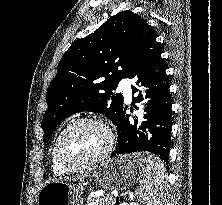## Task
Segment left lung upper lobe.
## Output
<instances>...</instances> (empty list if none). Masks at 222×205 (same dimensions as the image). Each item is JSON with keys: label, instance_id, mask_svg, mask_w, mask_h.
<instances>
[{"label": "left lung upper lobe", "instance_id": "1", "mask_svg": "<svg viewBox=\"0 0 222 205\" xmlns=\"http://www.w3.org/2000/svg\"><path fill=\"white\" fill-rule=\"evenodd\" d=\"M152 33L146 20L127 10L75 41L61 58L47 90L43 141L49 140L63 119L77 112L103 113L116 123L123 96L113 95L112 90L127 77ZM102 77L106 80L101 82Z\"/></svg>", "mask_w": 222, "mask_h": 205}]
</instances>
